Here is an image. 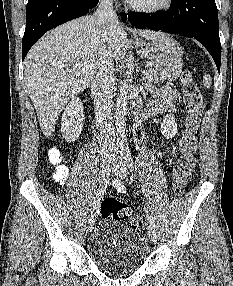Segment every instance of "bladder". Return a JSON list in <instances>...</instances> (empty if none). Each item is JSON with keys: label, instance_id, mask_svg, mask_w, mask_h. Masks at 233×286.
<instances>
[{"label": "bladder", "instance_id": "31cf9c89", "mask_svg": "<svg viewBox=\"0 0 233 286\" xmlns=\"http://www.w3.org/2000/svg\"><path fill=\"white\" fill-rule=\"evenodd\" d=\"M88 250L94 264L105 271H135L149 256L144 236L115 219H105L92 234Z\"/></svg>", "mask_w": 233, "mask_h": 286}]
</instances>
